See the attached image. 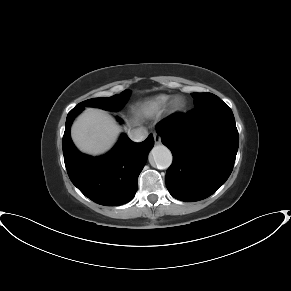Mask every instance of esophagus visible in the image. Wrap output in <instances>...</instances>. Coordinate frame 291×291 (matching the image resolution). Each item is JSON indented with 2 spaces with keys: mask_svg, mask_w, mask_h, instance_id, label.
<instances>
[{
  "mask_svg": "<svg viewBox=\"0 0 291 291\" xmlns=\"http://www.w3.org/2000/svg\"><path fill=\"white\" fill-rule=\"evenodd\" d=\"M153 138L156 144L161 143V138L156 133L153 134Z\"/></svg>",
  "mask_w": 291,
  "mask_h": 291,
  "instance_id": "1",
  "label": "esophagus"
}]
</instances>
